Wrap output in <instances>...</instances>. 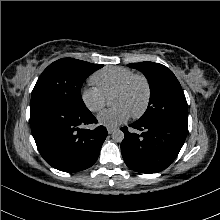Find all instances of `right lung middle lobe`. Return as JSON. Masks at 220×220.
<instances>
[{"label": "right lung middle lobe", "instance_id": "obj_1", "mask_svg": "<svg viewBox=\"0 0 220 220\" xmlns=\"http://www.w3.org/2000/svg\"><path fill=\"white\" fill-rule=\"evenodd\" d=\"M101 67V64L73 58L59 59L40 75L32 91L31 101L48 99L75 109H86L81 96V86L89 75Z\"/></svg>", "mask_w": 220, "mask_h": 220}]
</instances>
